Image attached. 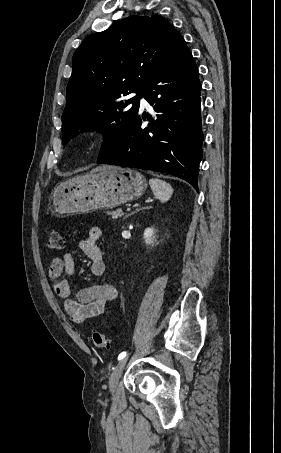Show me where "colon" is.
<instances>
[{
  "label": "colon",
  "mask_w": 281,
  "mask_h": 453,
  "mask_svg": "<svg viewBox=\"0 0 281 453\" xmlns=\"http://www.w3.org/2000/svg\"><path fill=\"white\" fill-rule=\"evenodd\" d=\"M46 248L50 252H59L62 250V233L60 230H52ZM93 345L97 349H105L108 347L110 338L103 333L95 332L93 334Z\"/></svg>",
  "instance_id": "1"
}]
</instances>
